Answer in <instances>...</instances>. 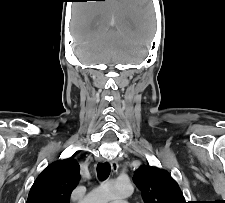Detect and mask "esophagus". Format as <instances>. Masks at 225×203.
<instances>
[{
  "mask_svg": "<svg viewBox=\"0 0 225 203\" xmlns=\"http://www.w3.org/2000/svg\"><path fill=\"white\" fill-rule=\"evenodd\" d=\"M110 165L113 172H116L118 170V163L116 160H111Z\"/></svg>",
  "mask_w": 225,
  "mask_h": 203,
  "instance_id": "obj_1",
  "label": "esophagus"
}]
</instances>
